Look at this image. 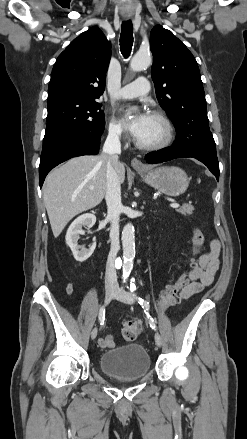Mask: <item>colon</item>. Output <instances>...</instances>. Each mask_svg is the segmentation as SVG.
I'll return each instance as SVG.
<instances>
[{
	"label": "colon",
	"mask_w": 247,
	"mask_h": 439,
	"mask_svg": "<svg viewBox=\"0 0 247 439\" xmlns=\"http://www.w3.org/2000/svg\"><path fill=\"white\" fill-rule=\"evenodd\" d=\"M192 240L194 248L192 254L194 256L198 255L204 245V235L201 230L194 229L192 232ZM196 265V260L193 258L191 260V267ZM187 275H182L178 280L169 283L166 289L162 292L161 298L157 303V310L159 312L166 310L170 306L174 305L178 301V294L183 289L187 282ZM139 335V325L137 322L131 321L127 322L122 329V336L126 341H133Z\"/></svg>",
	"instance_id": "colon-1"
}]
</instances>
